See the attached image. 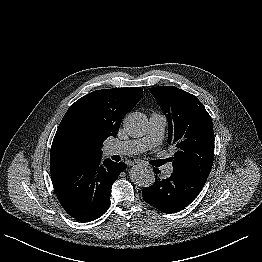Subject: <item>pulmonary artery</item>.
Listing matches in <instances>:
<instances>
[{"mask_svg": "<svg viewBox=\"0 0 262 262\" xmlns=\"http://www.w3.org/2000/svg\"><path fill=\"white\" fill-rule=\"evenodd\" d=\"M165 127L166 118L162 114L154 113L149 118V130L146 137L139 140H128L113 143L107 148V153L110 155H134L151 149L161 143ZM172 172L173 166H166L165 174L170 176Z\"/></svg>", "mask_w": 262, "mask_h": 262, "instance_id": "e3ab8cb5", "label": "pulmonary artery"}]
</instances>
